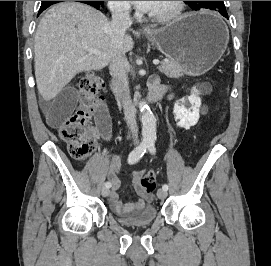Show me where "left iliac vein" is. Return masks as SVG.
Listing matches in <instances>:
<instances>
[{
    "instance_id": "1",
    "label": "left iliac vein",
    "mask_w": 271,
    "mask_h": 266,
    "mask_svg": "<svg viewBox=\"0 0 271 266\" xmlns=\"http://www.w3.org/2000/svg\"><path fill=\"white\" fill-rule=\"evenodd\" d=\"M157 196L159 199H165L167 197V191L164 189H158Z\"/></svg>"
}]
</instances>
